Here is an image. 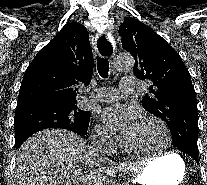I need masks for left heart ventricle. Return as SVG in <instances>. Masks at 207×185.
Instances as JSON below:
<instances>
[{
	"label": "left heart ventricle",
	"mask_w": 207,
	"mask_h": 185,
	"mask_svg": "<svg viewBox=\"0 0 207 185\" xmlns=\"http://www.w3.org/2000/svg\"><path fill=\"white\" fill-rule=\"evenodd\" d=\"M130 147L142 152H156L165 147V138L160 127L147 120L140 123L126 135Z\"/></svg>",
	"instance_id": "1"
}]
</instances>
